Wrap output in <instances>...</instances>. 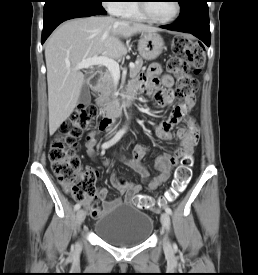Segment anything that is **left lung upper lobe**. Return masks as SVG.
<instances>
[{"label":"left lung upper lobe","mask_w":258,"mask_h":275,"mask_svg":"<svg viewBox=\"0 0 258 275\" xmlns=\"http://www.w3.org/2000/svg\"><path fill=\"white\" fill-rule=\"evenodd\" d=\"M186 0H178V3L182 5Z\"/></svg>","instance_id":"left-lung-upper-lobe-1"}]
</instances>
